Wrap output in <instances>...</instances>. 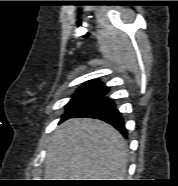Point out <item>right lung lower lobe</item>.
Here are the masks:
<instances>
[{
  "instance_id": "right-lung-lower-lobe-1",
  "label": "right lung lower lobe",
  "mask_w": 178,
  "mask_h": 186,
  "mask_svg": "<svg viewBox=\"0 0 178 186\" xmlns=\"http://www.w3.org/2000/svg\"><path fill=\"white\" fill-rule=\"evenodd\" d=\"M105 94L97 98L96 100L90 102L89 104L85 105L77 112L67 117H64L62 121L68 118L77 117L96 118L111 124L116 129H118L124 136H127V131L124 127L123 117L116 109L113 100L108 97H105Z\"/></svg>"
}]
</instances>
